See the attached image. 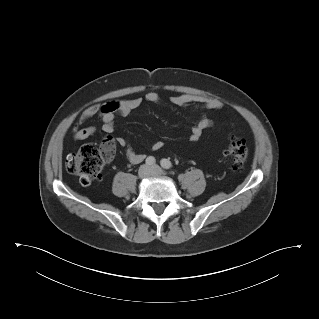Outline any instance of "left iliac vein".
Wrapping results in <instances>:
<instances>
[{
  "label": "left iliac vein",
  "mask_w": 319,
  "mask_h": 319,
  "mask_svg": "<svg viewBox=\"0 0 319 319\" xmlns=\"http://www.w3.org/2000/svg\"><path fill=\"white\" fill-rule=\"evenodd\" d=\"M151 175L159 176V175H166V172L160 168L158 165H153L151 167Z\"/></svg>",
  "instance_id": "obj_1"
}]
</instances>
